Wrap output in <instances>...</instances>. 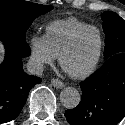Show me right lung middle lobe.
<instances>
[{
    "label": "right lung middle lobe",
    "mask_w": 125,
    "mask_h": 125,
    "mask_svg": "<svg viewBox=\"0 0 125 125\" xmlns=\"http://www.w3.org/2000/svg\"><path fill=\"white\" fill-rule=\"evenodd\" d=\"M52 8L24 0H0V33L25 40L34 19Z\"/></svg>",
    "instance_id": "1"
}]
</instances>
